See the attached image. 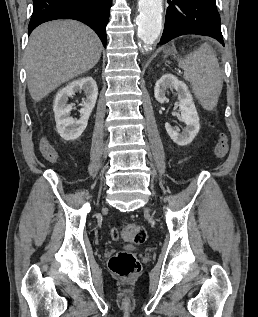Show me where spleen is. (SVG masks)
<instances>
[{
    "instance_id": "3e777b00",
    "label": "spleen",
    "mask_w": 258,
    "mask_h": 317,
    "mask_svg": "<svg viewBox=\"0 0 258 317\" xmlns=\"http://www.w3.org/2000/svg\"><path fill=\"white\" fill-rule=\"evenodd\" d=\"M184 70L185 80L191 82L192 90L206 110H213L223 86L221 70L216 54L210 44H201L178 62Z\"/></svg>"
}]
</instances>
